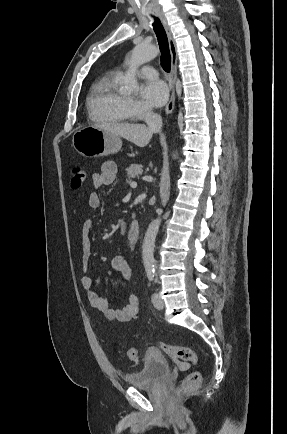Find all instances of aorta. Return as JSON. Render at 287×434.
<instances>
[{
	"mask_svg": "<svg viewBox=\"0 0 287 434\" xmlns=\"http://www.w3.org/2000/svg\"><path fill=\"white\" fill-rule=\"evenodd\" d=\"M157 55L158 49L154 45L138 44L134 47L131 58L128 61V70L123 78L124 91L126 93H132L138 87L136 79L137 69L144 63L154 59ZM173 158H176V154L173 155ZM160 223L161 219L159 217L150 223L142 246L144 267L146 272L150 274L155 271L154 247Z\"/></svg>",
	"mask_w": 287,
	"mask_h": 434,
	"instance_id": "1",
	"label": "aorta"
}]
</instances>
